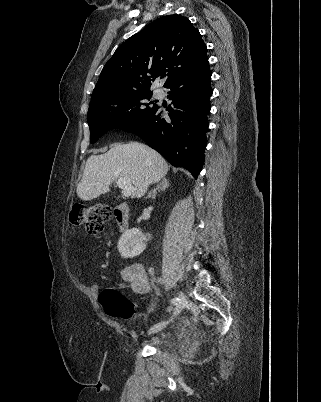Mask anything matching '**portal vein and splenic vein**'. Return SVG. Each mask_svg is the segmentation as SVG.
<instances>
[{
	"label": "portal vein and splenic vein",
	"mask_w": 321,
	"mask_h": 402,
	"mask_svg": "<svg viewBox=\"0 0 321 402\" xmlns=\"http://www.w3.org/2000/svg\"><path fill=\"white\" fill-rule=\"evenodd\" d=\"M117 185L123 190L124 196L129 197L134 192V187L132 186L131 182L125 178L118 179Z\"/></svg>",
	"instance_id": "obj_1"
}]
</instances>
